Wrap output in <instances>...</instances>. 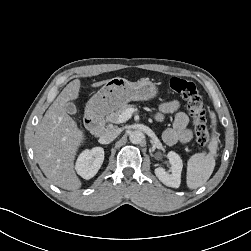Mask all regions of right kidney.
I'll use <instances>...</instances> for the list:
<instances>
[{"instance_id":"right-kidney-1","label":"right kidney","mask_w":251,"mask_h":251,"mask_svg":"<svg viewBox=\"0 0 251 251\" xmlns=\"http://www.w3.org/2000/svg\"><path fill=\"white\" fill-rule=\"evenodd\" d=\"M104 161V149L94 147L91 150H84L77 158L75 169L84 179L94 177Z\"/></svg>"}]
</instances>
